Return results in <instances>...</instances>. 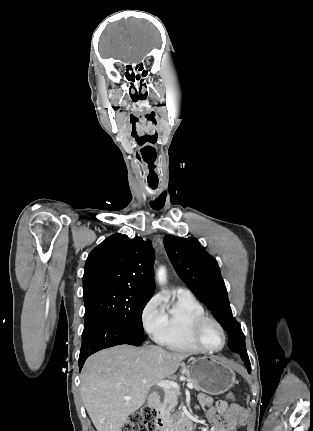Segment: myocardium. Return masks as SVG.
<instances>
[{"mask_svg":"<svg viewBox=\"0 0 313 431\" xmlns=\"http://www.w3.org/2000/svg\"><path fill=\"white\" fill-rule=\"evenodd\" d=\"M208 322L215 324L218 327L219 331L221 332L222 343L218 348H209L205 346L200 339L201 330L204 327V325ZM191 340L202 351L218 352L225 347L227 338H226V332L223 326L221 325V323L214 317L205 314L195 321L191 330Z\"/></svg>","mask_w":313,"mask_h":431,"instance_id":"f54148a6","label":"myocardium"}]
</instances>
